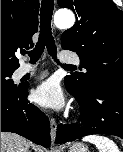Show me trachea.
Masks as SVG:
<instances>
[{"label":"trachea","instance_id":"obj_1","mask_svg":"<svg viewBox=\"0 0 123 152\" xmlns=\"http://www.w3.org/2000/svg\"><path fill=\"white\" fill-rule=\"evenodd\" d=\"M54 9V0H42L40 9V34L35 48L28 52L31 63H35L41 57L44 48L47 47L48 53L56 60V45L52 36L51 19ZM26 52H23L25 55ZM58 62V61H57ZM63 67L72 69L73 65H63Z\"/></svg>","mask_w":123,"mask_h":152}]
</instances>
